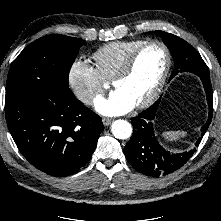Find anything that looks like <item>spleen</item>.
<instances>
[{
  "mask_svg": "<svg viewBox=\"0 0 221 221\" xmlns=\"http://www.w3.org/2000/svg\"><path fill=\"white\" fill-rule=\"evenodd\" d=\"M186 135L185 131H167L162 134V136L168 141H176L180 137H184Z\"/></svg>",
  "mask_w": 221,
  "mask_h": 221,
  "instance_id": "3e777b00",
  "label": "spleen"
}]
</instances>
